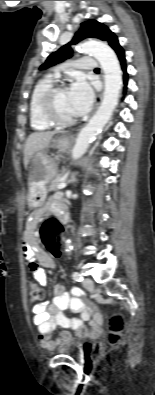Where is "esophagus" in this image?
Returning <instances> with one entry per match:
<instances>
[{
    "label": "esophagus",
    "instance_id": "esophagus-1",
    "mask_svg": "<svg viewBox=\"0 0 155 395\" xmlns=\"http://www.w3.org/2000/svg\"><path fill=\"white\" fill-rule=\"evenodd\" d=\"M102 99V94H100L97 99H96V108L98 107V105L100 104V101Z\"/></svg>",
    "mask_w": 155,
    "mask_h": 395
}]
</instances>
